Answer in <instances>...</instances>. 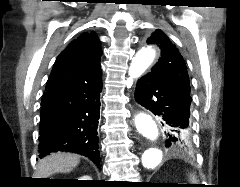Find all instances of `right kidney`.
I'll use <instances>...</instances> for the list:
<instances>
[{"instance_id": "right-kidney-1", "label": "right kidney", "mask_w": 240, "mask_h": 187, "mask_svg": "<svg viewBox=\"0 0 240 187\" xmlns=\"http://www.w3.org/2000/svg\"><path fill=\"white\" fill-rule=\"evenodd\" d=\"M80 180H92V178H90V176H82Z\"/></svg>"}]
</instances>
